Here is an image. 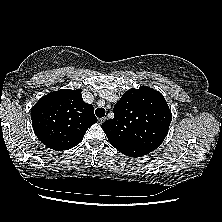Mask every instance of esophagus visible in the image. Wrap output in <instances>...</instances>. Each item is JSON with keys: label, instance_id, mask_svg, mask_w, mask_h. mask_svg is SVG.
<instances>
[{"label": "esophagus", "instance_id": "esophagus-1", "mask_svg": "<svg viewBox=\"0 0 222 222\" xmlns=\"http://www.w3.org/2000/svg\"><path fill=\"white\" fill-rule=\"evenodd\" d=\"M105 120H106L105 117H101V118L98 119V122H99V123H103Z\"/></svg>", "mask_w": 222, "mask_h": 222}]
</instances>
